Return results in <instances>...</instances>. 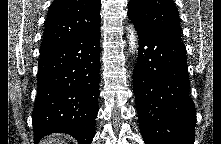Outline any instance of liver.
Segmentation results:
<instances>
[{"label":"liver","instance_id":"1","mask_svg":"<svg viewBox=\"0 0 221 144\" xmlns=\"http://www.w3.org/2000/svg\"><path fill=\"white\" fill-rule=\"evenodd\" d=\"M40 144H66V141L62 140L60 136H49L41 140Z\"/></svg>","mask_w":221,"mask_h":144}]
</instances>
